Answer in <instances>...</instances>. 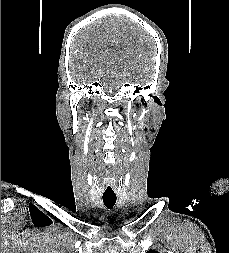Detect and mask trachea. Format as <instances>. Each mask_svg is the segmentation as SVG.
Masks as SVG:
<instances>
[{"mask_svg": "<svg viewBox=\"0 0 229 253\" xmlns=\"http://www.w3.org/2000/svg\"><path fill=\"white\" fill-rule=\"evenodd\" d=\"M116 197H103V202L104 205L108 208V209H112L116 203Z\"/></svg>", "mask_w": 229, "mask_h": 253, "instance_id": "1", "label": "trachea"}]
</instances>
